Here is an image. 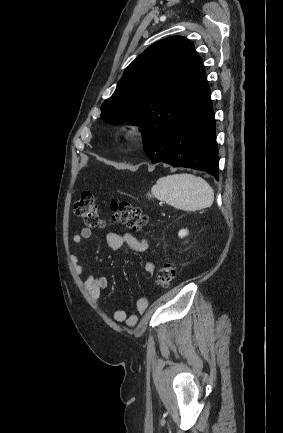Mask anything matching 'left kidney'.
<instances>
[{
  "label": "left kidney",
  "mask_w": 283,
  "mask_h": 433,
  "mask_svg": "<svg viewBox=\"0 0 283 433\" xmlns=\"http://www.w3.org/2000/svg\"><path fill=\"white\" fill-rule=\"evenodd\" d=\"M187 234H188L187 229H182L178 233L179 237H181V238L187 236Z\"/></svg>",
  "instance_id": "1"
}]
</instances>
